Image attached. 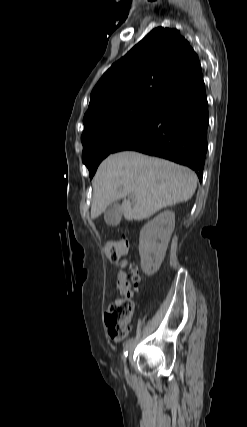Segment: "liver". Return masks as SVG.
Returning <instances> with one entry per match:
<instances>
[{"instance_id": "1", "label": "liver", "mask_w": 247, "mask_h": 427, "mask_svg": "<svg viewBox=\"0 0 247 427\" xmlns=\"http://www.w3.org/2000/svg\"><path fill=\"white\" fill-rule=\"evenodd\" d=\"M92 184V219L99 217L111 203L123 199L124 217L132 221L149 218L162 208L190 200L197 187V176L174 162L124 151L108 156L99 165Z\"/></svg>"}]
</instances>
